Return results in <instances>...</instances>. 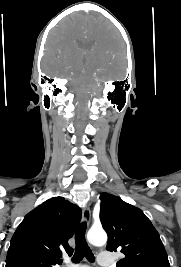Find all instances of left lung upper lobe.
<instances>
[{
  "mask_svg": "<svg viewBox=\"0 0 181 267\" xmlns=\"http://www.w3.org/2000/svg\"><path fill=\"white\" fill-rule=\"evenodd\" d=\"M100 200L106 249L125 255L117 267H170L160 236L142 210L108 193H102Z\"/></svg>",
  "mask_w": 181,
  "mask_h": 267,
  "instance_id": "5c2ea615",
  "label": "left lung upper lobe"
}]
</instances>
